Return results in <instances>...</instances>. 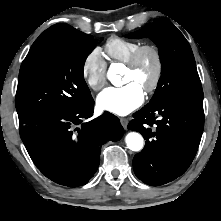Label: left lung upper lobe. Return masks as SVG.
Returning <instances> with one entry per match:
<instances>
[{
  "label": "left lung upper lobe",
  "mask_w": 221,
  "mask_h": 221,
  "mask_svg": "<svg viewBox=\"0 0 221 221\" xmlns=\"http://www.w3.org/2000/svg\"><path fill=\"white\" fill-rule=\"evenodd\" d=\"M128 38H150L161 61V77L149 103L160 98L203 102V91L192 49L182 33L168 20L156 19Z\"/></svg>",
  "instance_id": "5c2ea615"
}]
</instances>
